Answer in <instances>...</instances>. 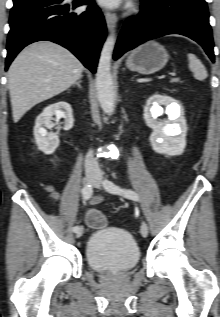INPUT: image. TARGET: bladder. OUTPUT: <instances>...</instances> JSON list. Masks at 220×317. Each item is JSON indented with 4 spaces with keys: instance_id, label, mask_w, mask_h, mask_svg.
Here are the masks:
<instances>
[{
    "instance_id": "bladder-1",
    "label": "bladder",
    "mask_w": 220,
    "mask_h": 317,
    "mask_svg": "<svg viewBox=\"0 0 220 317\" xmlns=\"http://www.w3.org/2000/svg\"><path fill=\"white\" fill-rule=\"evenodd\" d=\"M87 265L96 272L124 273L140 261V249L134 237L121 228L94 231L85 246Z\"/></svg>"
}]
</instances>
